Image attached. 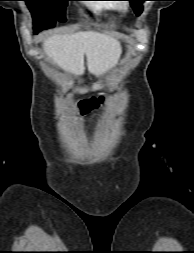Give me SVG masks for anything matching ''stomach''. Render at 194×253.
<instances>
[{
    "label": "stomach",
    "instance_id": "obj_1",
    "mask_svg": "<svg viewBox=\"0 0 194 253\" xmlns=\"http://www.w3.org/2000/svg\"><path fill=\"white\" fill-rule=\"evenodd\" d=\"M93 88L94 89H99V88H102V85L101 84H96ZM77 91L80 92V93H84V92L87 91V89H78Z\"/></svg>",
    "mask_w": 194,
    "mask_h": 253
}]
</instances>
